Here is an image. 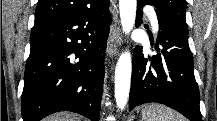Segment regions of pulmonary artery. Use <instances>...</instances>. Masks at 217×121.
Here are the masks:
<instances>
[{
    "label": "pulmonary artery",
    "mask_w": 217,
    "mask_h": 121,
    "mask_svg": "<svg viewBox=\"0 0 217 121\" xmlns=\"http://www.w3.org/2000/svg\"><path fill=\"white\" fill-rule=\"evenodd\" d=\"M146 12H148V16L152 25V29L155 33L158 32L159 24H158V17L155 13H153L150 9L146 8Z\"/></svg>",
    "instance_id": "pulmonary-artery-1"
}]
</instances>
